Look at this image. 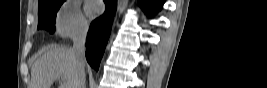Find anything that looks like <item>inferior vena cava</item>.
<instances>
[{
    "label": "inferior vena cava",
    "instance_id": "602c4592",
    "mask_svg": "<svg viewBox=\"0 0 267 88\" xmlns=\"http://www.w3.org/2000/svg\"><path fill=\"white\" fill-rule=\"evenodd\" d=\"M88 25H82L73 35L72 52L77 66V82L75 88H85V43Z\"/></svg>",
    "mask_w": 267,
    "mask_h": 88
}]
</instances>
